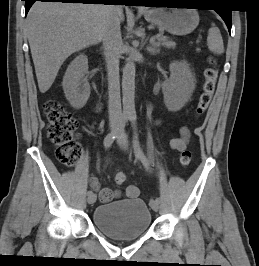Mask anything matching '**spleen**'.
<instances>
[{
    "label": "spleen",
    "mask_w": 259,
    "mask_h": 266,
    "mask_svg": "<svg viewBox=\"0 0 259 266\" xmlns=\"http://www.w3.org/2000/svg\"><path fill=\"white\" fill-rule=\"evenodd\" d=\"M207 45L211 52L217 55L224 53L223 39L220 30L212 24V27L208 31Z\"/></svg>",
    "instance_id": "1"
}]
</instances>
